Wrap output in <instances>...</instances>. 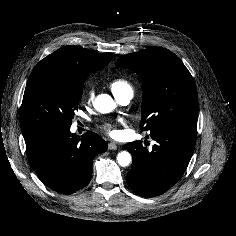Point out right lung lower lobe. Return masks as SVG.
I'll return each mask as SVG.
<instances>
[{"label":"right lung lower lobe","mask_w":236,"mask_h":236,"mask_svg":"<svg viewBox=\"0 0 236 236\" xmlns=\"http://www.w3.org/2000/svg\"><path fill=\"white\" fill-rule=\"evenodd\" d=\"M29 162L39 179L52 190L71 194L85 187L96 155L107 143L96 133L80 138L70 129H41L23 134Z\"/></svg>","instance_id":"98d812e1"}]
</instances>
